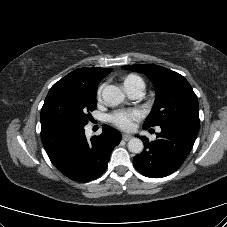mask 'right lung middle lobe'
<instances>
[{
  "label": "right lung middle lobe",
  "instance_id": "1",
  "mask_svg": "<svg viewBox=\"0 0 227 227\" xmlns=\"http://www.w3.org/2000/svg\"><path fill=\"white\" fill-rule=\"evenodd\" d=\"M98 82H81L62 78L48 92L41 109V126L67 122L85 126L97 106Z\"/></svg>",
  "mask_w": 227,
  "mask_h": 227
}]
</instances>
